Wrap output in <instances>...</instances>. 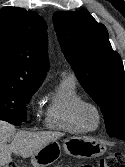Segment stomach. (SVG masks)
Returning <instances> with one entry per match:
<instances>
[{
  "label": "stomach",
  "instance_id": "0dacf381",
  "mask_svg": "<svg viewBox=\"0 0 125 167\" xmlns=\"http://www.w3.org/2000/svg\"><path fill=\"white\" fill-rule=\"evenodd\" d=\"M63 149L66 154L75 158H93L105 153L106 147L98 140L71 136L63 140ZM62 148L57 141L50 142L31 156L33 167H46L61 157Z\"/></svg>",
  "mask_w": 125,
  "mask_h": 167
}]
</instances>
